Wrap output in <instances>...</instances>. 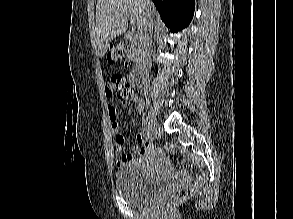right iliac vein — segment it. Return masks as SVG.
Wrapping results in <instances>:
<instances>
[{"mask_svg":"<svg viewBox=\"0 0 293 219\" xmlns=\"http://www.w3.org/2000/svg\"><path fill=\"white\" fill-rule=\"evenodd\" d=\"M147 128L149 129L150 133L152 134H155L158 132L159 130V125L158 123L156 122V120L151 117V116H148L147 117Z\"/></svg>","mask_w":293,"mask_h":219,"instance_id":"obj_1","label":"right iliac vein"}]
</instances>
